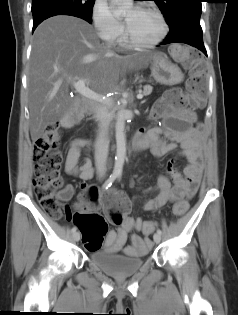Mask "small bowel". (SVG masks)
<instances>
[{
  "mask_svg": "<svg viewBox=\"0 0 238 315\" xmlns=\"http://www.w3.org/2000/svg\"><path fill=\"white\" fill-rule=\"evenodd\" d=\"M164 133L161 127L139 130L134 138L138 145V151L150 149L158 158L174 152L177 149L176 144L164 139L162 137ZM167 133L173 141L181 143V154L188 160V164L184 169L183 175L175 167V160H171L167 164L168 175H160L157 184L146 191L148 193H155V197L143 202L142 208L145 211L160 208L176 199L190 198L196 192L202 174L203 128L201 125L197 124L184 131ZM87 145L88 142L83 139L72 141L68 148L65 164L66 172L82 181H87L93 176V166L89 158H85L83 163L78 165L81 152ZM170 179H172L173 185ZM73 192V186L67 185L57 193V196L61 200L67 201L72 197ZM135 201L136 199L129 201L128 207L131 208ZM100 202L101 200H99ZM82 210L95 209L94 205H90V209H85L84 205ZM70 217H72L71 214L68 216V220H70ZM144 223L145 221L142 218H132L129 216V219H124L117 230L110 231L107 234L104 244L105 250L109 253H116L123 250L127 256L144 255L152 246L149 236L142 238L137 234H132L130 236V245L124 246L127 234L133 230H141Z\"/></svg>",
  "mask_w": 238,
  "mask_h": 315,
  "instance_id": "c3829d8e",
  "label": "small bowel"
}]
</instances>
